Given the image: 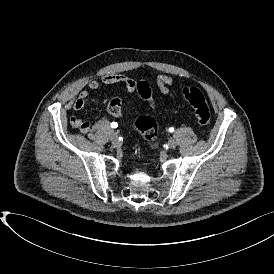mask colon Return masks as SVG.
Wrapping results in <instances>:
<instances>
[{"mask_svg":"<svg viewBox=\"0 0 274 274\" xmlns=\"http://www.w3.org/2000/svg\"><path fill=\"white\" fill-rule=\"evenodd\" d=\"M137 90L142 97L146 98L151 95L150 86L145 82L139 83L137 85ZM182 95L192 107L198 124L201 127H207L211 121V112L202 91L197 87L187 86L183 88ZM148 105L150 110L154 111L156 109L154 100L150 99ZM121 108V99L113 100L109 103V110L116 117H119L122 114ZM133 126L143 133L145 143L149 148H152L157 141L156 123L154 119L150 116L142 115L135 120Z\"/></svg>","mask_w":274,"mask_h":274,"instance_id":"1","label":"colon"}]
</instances>
